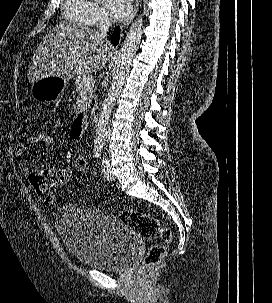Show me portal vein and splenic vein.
Segmentation results:
<instances>
[{"instance_id":"1","label":"portal vein and splenic vein","mask_w":272,"mask_h":303,"mask_svg":"<svg viewBox=\"0 0 272 303\" xmlns=\"http://www.w3.org/2000/svg\"><path fill=\"white\" fill-rule=\"evenodd\" d=\"M81 83L86 86L93 85V79L90 76L84 75L81 78Z\"/></svg>"}]
</instances>
